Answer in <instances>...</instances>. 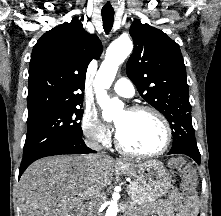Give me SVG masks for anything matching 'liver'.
I'll return each mask as SVG.
<instances>
[{"instance_id":"liver-1","label":"liver","mask_w":221,"mask_h":216,"mask_svg":"<svg viewBox=\"0 0 221 216\" xmlns=\"http://www.w3.org/2000/svg\"><path fill=\"white\" fill-rule=\"evenodd\" d=\"M97 162L92 169L88 156L62 155L32 163L19 182L22 216H81L83 201L112 181L113 159L100 155Z\"/></svg>"}]
</instances>
